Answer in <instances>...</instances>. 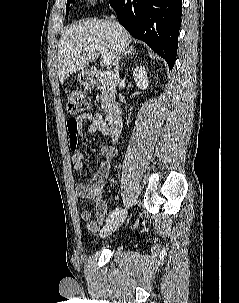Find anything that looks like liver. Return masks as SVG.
Masks as SVG:
<instances>
[{"instance_id":"liver-1","label":"liver","mask_w":239,"mask_h":303,"mask_svg":"<svg viewBox=\"0 0 239 303\" xmlns=\"http://www.w3.org/2000/svg\"><path fill=\"white\" fill-rule=\"evenodd\" d=\"M132 38L120 25L107 20L90 19L67 28L58 45V77L63 84L76 71L85 70L98 57L87 48L104 45L115 65L117 54L129 47Z\"/></svg>"}]
</instances>
